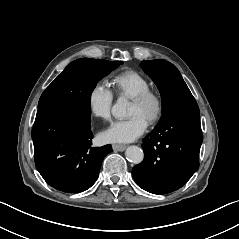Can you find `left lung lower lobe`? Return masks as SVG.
<instances>
[{
  "mask_svg": "<svg viewBox=\"0 0 239 239\" xmlns=\"http://www.w3.org/2000/svg\"><path fill=\"white\" fill-rule=\"evenodd\" d=\"M202 140L198 105L174 110L143 139L144 160L132 169L135 182L159 195L181 188L199 167Z\"/></svg>",
  "mask_w": 239,
  "mask_h": 239,
  "instance_id": "obj_1",
  "label": "left lung lower lobe"
}]
</instances>
